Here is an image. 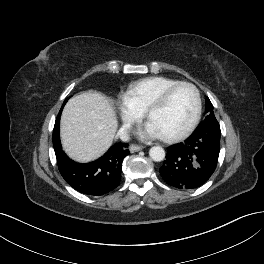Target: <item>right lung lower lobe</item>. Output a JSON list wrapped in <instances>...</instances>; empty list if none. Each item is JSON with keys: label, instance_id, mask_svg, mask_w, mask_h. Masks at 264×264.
<instances>
[{"label": "right lung lower lobe", "instance_id": "98d812e1", "mask_svg": "<svg viewBox=\"0 0 264 264\" xmlns=\"http://www.w3.org/2000/svg\"><path fill=\"white\" fill-rule=\"evenodd\" d=\"M61 111L53 130V146L62 177L75 190L87 195L100 196L115 189L120 183L123 159L130 153L128 144L116 143L98 160L76 163L62 150L59 130Z\"/></svg>", "mask_w": 264, "mask_h": 264}]
</instances>
